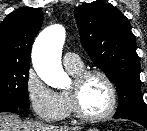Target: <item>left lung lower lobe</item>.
<instances>
[{
	"label": "left lung lower lobe",
	"mask_w": 147,
	"mask_h": 131,
	"mask_svg": "<svg viewBox=\"0 0 147 131\" xmlns=\"http://www.w3.org/2000/svg\"><path fill=\"white\" fill-rule=\"evenodd\" d=\"M113 118L132 120V121H135V122L143 125L147 129V119H143V118H139V117H115V116H113Z\"/></svg>",
	"instance_id": "obj_1"
}]
</instances>
